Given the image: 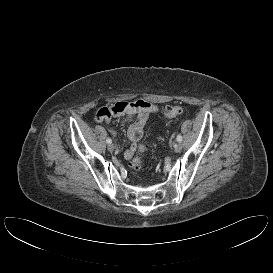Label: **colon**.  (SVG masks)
<instances>
[{
    "mask_svg": "<svg viewBox=\"0 0 273 273\" xmlns=\"http://www.w3.org/2000/svg\"><path fill=\"white\" fill-rule=\"evenodd\" d=\"M183 113H184V109L181 106H168L165 108L164 116L166 118H174V117H177ZM139 149L141 150L142 148L140 147ZM131 167L136 170L140 169L141 159L139 157H135L131 161Z\"/></svg>",
    "mask_w": 273,
    "mask_h": 273,
    "instance_id": "1",
    "label": "colon"
}]
</instances>
